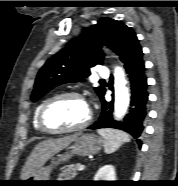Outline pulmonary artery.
Wrapping results in <instances>:
<instances>
[{
  "label": "pulmonary artery",
  "mask_w": 178,
  "mask_h": 186,
  "mask_svg": "<svg viewBox=\"0 0 178 186\" xmlns=\"http://www.w3.org/2000/svg\"><path fill=\"white\" fill-rule=\"evenodd\" d=\"M97 73L101 77H108V75H109L108 69L103 65L98 66Z\"/></svg>",
  "instance_id": "pulmonary-artery-1"
}]
</instances>
